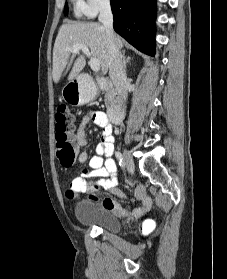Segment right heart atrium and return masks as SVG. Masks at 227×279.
I'll return each instance as SVG.
<instances>
[{"mask_svg": "<svg viewBox=\"0 0 227 279\" xmlns=\"http://www.w3.org/2000/svg\"><path fill=\"white\" fill-rule=\"evenodd\" d=\"M78 8L87 16L93 17L105 9L110 0H76Z\"/></svg>", "mask_w": 227, "mask_h": 279, "instance_id": "right-heart-atrium-1", "label": "right heart atrium"}]
</instances>
